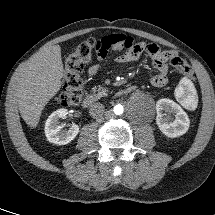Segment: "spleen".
<instances>
[{
  "label": "spleen",
  "mask_w": 215,
  "mask_h": 215,
  "mask_svg": "<svg viewBox=\"0 0 215 215\" xmlns=\"http://www.w3.org/2000/svg\"><path fill=\"white\" fill-rule=\"evenodd\" d=\"M185 90H187L188 96L187 98L181 100ZM176 96L188 108L196 105L195 89L193 84L188 79H183L180 82L179 87L176 89Z\"/></svg>",
  "instance_id": "obj_1"
}]
</instances>
